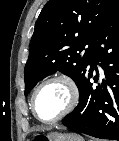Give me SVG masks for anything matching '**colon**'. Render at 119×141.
Wrapping results in <instances>:
<instances>
[{
	"mask_svg": "<svg viewBox=\"0 0 119 141\" xmlns=\"http://www.w3.org/2000/svg\"><path fill=\"white\" fill-rule=\"evenodd\" d=\"M34 141H49V139L43 135H38L34 138Z\"/></svg>",
	"mask_w": 119,
	"mask_h": 141,
	"instance_id": "5ec220e1",
	"label": "colon"
}]
</instances>
